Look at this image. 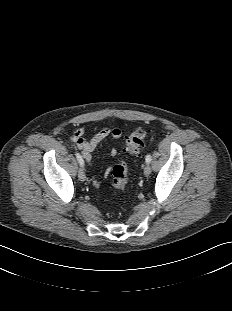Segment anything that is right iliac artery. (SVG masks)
I'll use <instances>...</instances> for the list:
<instances>
[{
  "label": "right iliac artery",
  "instance_id": "right-iliac-artery-1",
  "mask_svg": "<svg viewBox=\"0 0 232 311\" xmlns=\"http://www.w3.org/2000/svg\"><path fill=\"white\" fill-rule=\"evenodd\" d=\"M75 155H76V158H77L80 166L83 167L84 166V160H83L82 156L78 152H76Z\"/></svg>",
  "mask_w": 232,
  "mask_h": 311
}]
</instances>
